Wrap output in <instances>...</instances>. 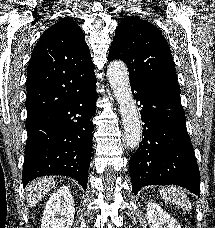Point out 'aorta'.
Returning <instances> with one entry per match:
<instances>
[{
  "mask_svg": "<svg viewBox=\"0 0 215 228\" xmlns=\"http://www.w3.org/2000/svg\"><path fill=\"white\" fill-rule=\"evenodd\" d=\"M107 76L119 106L127 146L135 150L142 140V124L131 92L128 68L123 62H112Z\"/></svg>",
  "mask_w": 215,
  "mask_h": 228,
  "instance_id": "762f6f07",
  "label": "aorta"
}]
</instances>
